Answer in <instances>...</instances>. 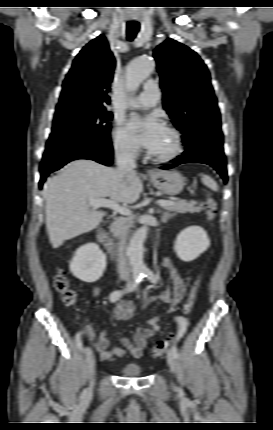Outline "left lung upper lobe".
I'll use <instances>...</instances> for the list:
<instances>
[{"mask_svg":"<svg viewBox=\"0 0 273 430\" xmlns=\"http://www.w3.org/2000/svg\"><path fill=\"white\" fill-rule=\"evenodd\" d=\"M163 90V106L185 135L207 122L221 125L207 66L196 52L167 39L154 50ZM182 136V137H183Z\"/></svg>","mask_w":273,"mask_h":430,"instance_id":"5c2ea615","label":"left lung upper lobe"}]
</instances>
